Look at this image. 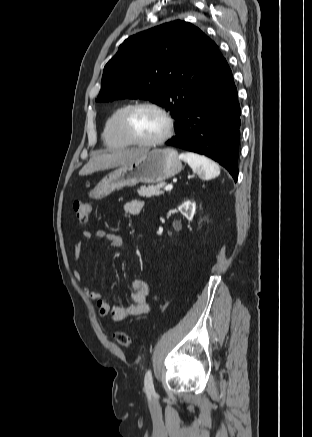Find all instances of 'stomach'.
<instances>
[{
	"label": "stomach",
	"mask_w": 312,
	"mask_h": 437,
	"mask_svg": "<svg viewBox=\"0 0 312 437\" xmlns=\"http://www.w3.org/2000/svg\"><path fill=\"white\" fill-rule=\"evenodd\" d=\"M181 170L182 163L175 149H153L110 172L90 190L88 195L92 199H102L126 186L162 182Z\"/></svg>",
	"instance_id": "stomach-1"
}]
</instances>
